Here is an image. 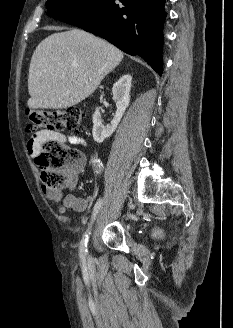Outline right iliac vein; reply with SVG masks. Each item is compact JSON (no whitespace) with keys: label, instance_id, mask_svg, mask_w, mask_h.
Here are the masks:
<instances>
[{"label":"right iliac vein","instance_id":"right-iliac-vein-1","mask_svg":"<svg viewBox=\"0 0 233 328\" xmlns=\"http://www.w3.org/2000/svg\"><path fill=\"white\" fill-rule=\"evenodd\" d=\"M88 262H91V257H88Z\"/></svg>","mask_w":233,"mask_h":328}]
</instances>
